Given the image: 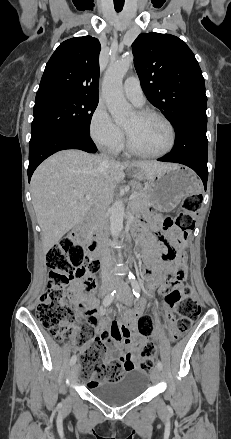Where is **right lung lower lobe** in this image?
I'll use <instances>...</instances> for the list:
<instances>
[{"label":"right lung lower lobe","instance_id":"right-lung-lower-lobe-1","mask_svg":"<svg viewBox=\"0 0 231 439\" xmlns=\"http://www.w3.org/2000/svg\"><path fill=\"white\" fill-rule=\"evenodd\" d=\"M65 149H80L88 153L97 151L96 145L90 137V133H85L73 127H58L49 130L29 143V167L28 179L37 166L50 155Z\"/></svg>","mask_w":231,"mask_h":439}]
</instances>
